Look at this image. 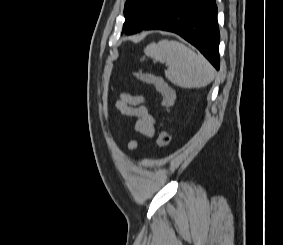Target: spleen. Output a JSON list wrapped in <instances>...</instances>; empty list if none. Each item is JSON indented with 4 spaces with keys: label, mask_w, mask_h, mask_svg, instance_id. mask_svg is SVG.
<instances>
[{
    "label": "spleen",
    "mask_w": 283,
    "mask_h": 245,
    "mask_svg": "<svg viewBox=\"0 0 283 245\" xmlns=\"http://www.w3.org/2000/svg\"><path fill=\"white\" fill-rule=\"evenodd\" d=\"M146 56L165 63L166 78L182 88H201L215 77L212 65L201 55L176 40H161L145 49ZM144 60V57L142 58Z\"/></svg>",
    "instance_id": "3e777b00"
}]
</instances>
